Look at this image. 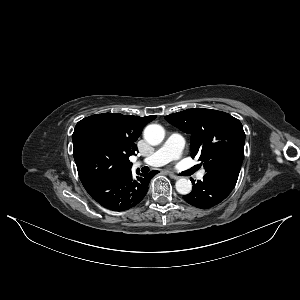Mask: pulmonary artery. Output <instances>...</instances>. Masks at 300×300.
Here are the masks:
<instances>
[{
	"mask_svg": "<svg viewBox=\"0 0 300 300\" xmlns=\"http://www.w3.org/2000/svg\"><path fill=\"white\" fill-rule=\"evenodd\" d=\"M184 146L185 141L180 135L171 134L165 143L153 154L143 160L137 161L135 167L143 164L148 166H162L172 160L178 159L182 154ZM203 177L204 171H200L197 174V179L202 180Z\"/></svg>",
	"mask_w": 300,
	"mask_h": 300,
	"instance_id": "1",
	"label": "pulmonary artery"
}]
</instances>
